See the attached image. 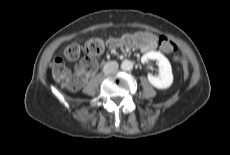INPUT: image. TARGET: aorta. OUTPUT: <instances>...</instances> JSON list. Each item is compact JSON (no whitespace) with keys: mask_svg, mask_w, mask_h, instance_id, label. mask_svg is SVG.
<instances>
[{"mask_svg":"<svg viewBox=\"0 0 230 155\" xmlns=\"http://www.w3.org/2000/svg\"><path fill=\"white\" fill-rule=\"evenodd\" d=\"M121 68L124 71H130V70H132L133 69V63H132V61H130V60L123 61L122 64H121Z\"/></svg>","mask_w":230,"mask_h":155,"instance_id":"762f6f07","label":"aorta"}]
</instances>
